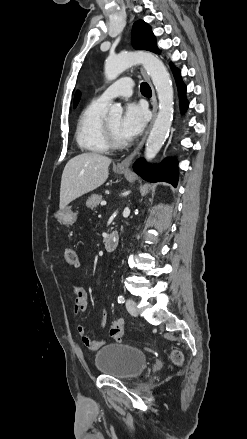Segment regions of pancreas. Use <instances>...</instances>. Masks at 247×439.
Instances as JSON below:
<instances>
[{
  "label": "pancreas",
  "instance_id": "cf45deb5",
  "mask_svg": "<svg viewBox=\"0 0 247 439\" xmlns=\"http://www.w3.org/2000/svg\"><path fill=\"white\" fill-rule=\"evenodd\" d=\"M103 198L101 195L94 194L86 202V206L91 209H95L102 202Z\"/></svg>",
  "mask_w": 247,
  "mask_h": 439
}]
</instances>
